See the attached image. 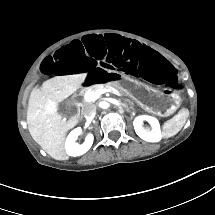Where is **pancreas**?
<instances>
[{"mask_svg": "<svg viewBox=\"0 0 215 215\" xmlns=\"http://www.w3.org/2000/svg\"><path fill=\"white\" fill-rule=\"evenodd\" d=\"M114 84L113 82H108L106 84H95L89 87H85L81 90L80 94L81 95H88L90 92H95L99 89H103V88H113ZM120 95H124L123 92L119 91Z\"/></svg>", "mask_w": 215, "mask_h": 215, "instance_id": "cf45deb5", "label": "pancreas"}]
</instances>
